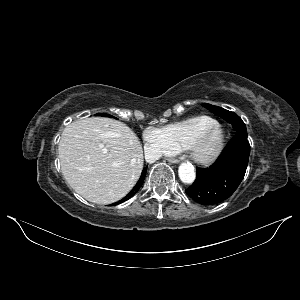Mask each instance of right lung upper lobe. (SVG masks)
<instances>
[{
    "instance_id": "1",
    "label": "right lung upper lobe",
    "mask_w": 300,
    "mask_h": 300,
    "mask_svg": "<svg viewBox=\"0 0 300 300\" xmlns=\"http://www.w3.org/2000/svg\"><path fill=\"white\" fill-rule=\"evenodd\" d=\"M140 187H141V185H139V182H138V184H136V186L133 188L134 192L137 193V191L139 190Z\"/></svg>"
}]
</instances>
